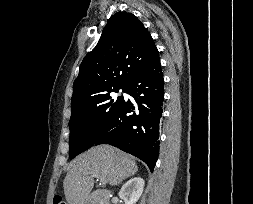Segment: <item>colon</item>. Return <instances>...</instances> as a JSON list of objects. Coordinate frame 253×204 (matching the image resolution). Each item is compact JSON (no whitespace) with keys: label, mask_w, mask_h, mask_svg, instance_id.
<instances>
[{"label":"colon","mask_w":253,"mask_h":204,"mask_svg":"<svg viewBox=\"0 0 253 204\" xmlns=\"http://www.w3.org/2000/svg\"><path fill=\"white\" fill-rule=\"evenodd\" d=\"M53 204H66L63 198L59 195H56L53 199Z\"/></svg>","instance_id":"1"}]
</instances>
